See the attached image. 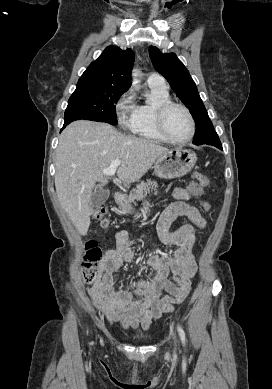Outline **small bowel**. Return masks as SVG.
<instances>
[{
	"label": "small bowel",
	"mask_w": 272,
	"mask_h": 389,
	"mask_svg": "<svg viewBox=\"0 0 272 389\" xmlns=\"http://www.w3.org/2000/svg\"><path fill=\"white\" fill-rule=\"evenodd\" d=\"M173 195L176 201L165 206L157 231L163 243L176 245L178 250L174 256L153 254L148 257L147 264L156 270L149 280L114 288L122 265L135 258L125 232L117 233L115 248L107 250L98 265V276L88 294L110 324L121 323L125 330L139 327L148 330L153 320L172 311L176 299L182 302L189 294L191 279L197 272L192 254L196 241L194 232L196 228H204L206 220L195 206L187 203L194 196L191 190L177 188ZM182 216L189 223L170 231L173 221ZM169 274L173 281L168 279Z\"/></svg>",
	"instance_id": "1"
}]
</instances>
